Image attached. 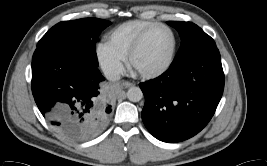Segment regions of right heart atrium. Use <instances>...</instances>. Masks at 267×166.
I'll return each mask as SVG.
<instances>
[{"label":"right heart atrium","instance_id":"right-heart-atrium-1","mask_svg":"<svg viewBox=\"0 0 267 166\" xmlns=\"http://www.w3.org/2000/svg\"><path fill=\"white\" fill-rule=\"evenodd\" d=\"M96 58L109 77L118 76L124 65L122 58L110 45L106 42H100L95 49Z\"/></svg>","mask_w":267,"mask_h":166}]
</instances>
